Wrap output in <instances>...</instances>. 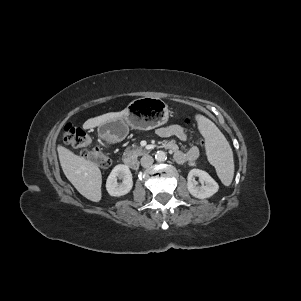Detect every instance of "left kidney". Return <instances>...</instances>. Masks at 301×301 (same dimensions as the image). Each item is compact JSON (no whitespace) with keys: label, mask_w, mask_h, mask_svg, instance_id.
<instances>
[{"label":"left kidney","mask_w":301,"mask_h":301,"mask_svg":"<svg viewBox=\"0 0 301 301\" xmlns=\"http://www.w3.org/2000/svg\"><path fill=\"white\" fill-rule=\"evenodd\" d=\"M199 177L203 182L202 186H197L193 179ZM187 188L189 193L198 199H205L213 196L219 189L217 182L206 172L200 169H192L188 173Z\"/></svg>","instance_id":"left-kidney-1"}]
</instances>
